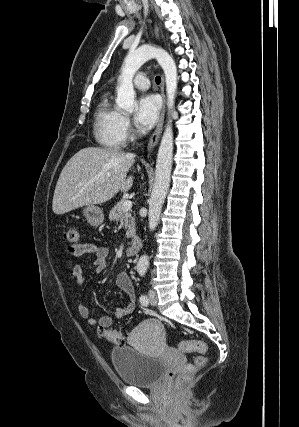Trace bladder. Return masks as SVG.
<instances>
[{
    "mask_svg": "<svg viewBox=\"0 0 299 427\" xmlns=\"http://www.w3.org/2000/svg\"><path fill=\"white\" fill-rule=\"evenodd\" d=\"M111 360L119 379L137 387L156 386L167 368L160 358L143 354L129 345L113 348Z\"/></svg>",
    "mask_w": 299,
    "mask_h": 427,
    "instance_id": "31cf9c89",
    "label": "bladder"
}]
</instances>
